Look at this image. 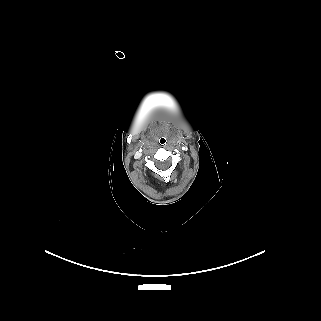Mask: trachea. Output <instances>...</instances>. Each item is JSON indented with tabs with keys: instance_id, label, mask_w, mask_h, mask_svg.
Here are the masks:
<instances>
[{
	"instance_id": "3493384b",
	"label": "trachea",
	"mask_w": 321,
	"mask_h": 321,
	"mask_svg": "<svg viewBox=\"0 0 321 321\" xmlns=\"http://www.w3.org/2000/svg\"><path fill=\"white\" fill-rule=\"evenodd\" d=\"M160 144L161 145H166L167 144V138L166 137H161L160 138Z\"/></svg>"
}]
</instances>
